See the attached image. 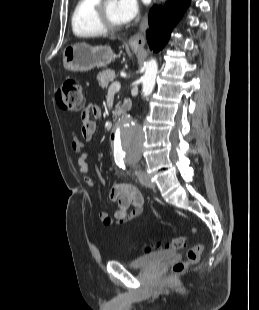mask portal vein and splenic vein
Returning a JSON list of instances; mask_svg holds the SVG:
<instances>
[{"label": "portal vein and splenic vein", "instance_id": "1", "mask_svg": "<svg viewBox=\"0 0 259 310\" xmlns=\"http://www.w3.org/2000/svg\"><path fill=\"white\" fill-rule=\"evenodd\" d=\"M121 88L120 82H114L111 84V86L108 89V92H117Z\"/></svg>", "mask_w": 259, "mask_h": 310}]
</instances>
